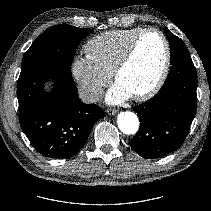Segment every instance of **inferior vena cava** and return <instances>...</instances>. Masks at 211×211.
Returning a JSON list of instances; mask_svg holds the SVG:
<instances>
[{"instance_id": "obj_1", "label": "inferior vena cava", "mask_w": 211, "mask_h": 211, "mask_svg": "<svg viewBox=\"0 0 211 211\" xmlns=\"http://www.w3.org/2000/svg\"><path fill=\"white\" fill-rule=\"evenodd\" d=\"M102 97L101 89L85 88L79 91V98L84 103H95Z\"/></svg>"}]
</instances>
